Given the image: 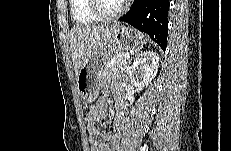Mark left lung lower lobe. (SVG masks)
Here are the masks:
<instances>
[{
	"mask_svg": "<svg viewBox=\"0 0 231 151\" xmlns=\"http://www.w3.org/2000/svg\"><path fill=\"white\" fill-rule=\"evenodd\" d=\"M169 0H135L120 21L147 33L163 50L167 46Z\"/></svg>",
	"mask_w": 231,
	"mask_h": 151,
	"instance_id": "0a47b994",
	"label": "left lung lower lobe"
}]
</instances>
